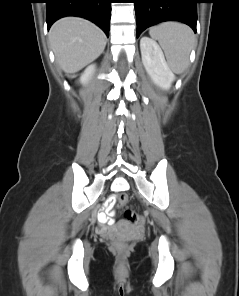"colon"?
I'll list each match as a JSON object with an SVG mask.
<instances>
[{
	"instance_id": "obj_1",
	"label": "colon",
	"mask_w": 239,
	"mask_h": 296,
	"mask_svg": "<svg viewBox=\"0 0 239 296\" xmlns=\"http://www.w3.org/2000/svg\"><path fill=\"white\" fill-rule=\"evenodd\" d=\"M126 201H127V196L122 194L117 199V205L122 206L126 203ZM124 215H125V218L131 224L138 225L143 222L142 216L133 210H130V209L126 210ZM127 242H128L127 237L115 235L112 238V248L116 252H120V253L124 252L127 249Z\"/></svg>"
}]
</instances>
